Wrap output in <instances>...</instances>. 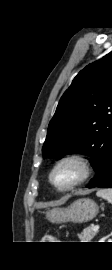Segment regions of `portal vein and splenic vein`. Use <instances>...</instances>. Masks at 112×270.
I'll use <instances>...</instances> for the list:
<instances>
[{"label": "portal vein and splenic vein", "instance_id": "18ae733b", "mask_svg": "<svg viewBox=\"0 0 112 270\" xmlns=\"http://www.w3.org/2000/svg\"><path fill=\"white\" fill-rule=\"evenodd\" d=\"M92 229H93L94 231L98 230V229H99V225H93V226H92Z\"/></svg>", "mask_w": 112, "mask_h": 270}]
</instances>
